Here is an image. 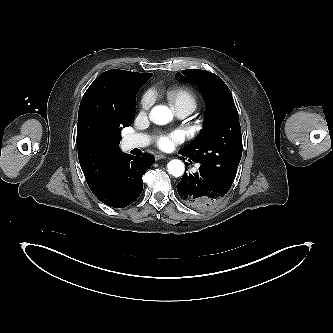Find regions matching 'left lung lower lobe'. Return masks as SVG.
I'll return each instance as SVG.
<instances>
[{"label": "left lung lower lobe", "instance_id": "1", "mask_svg": "<svg viewBox=\"0 0 333 333\" xmlns=\"http://www.w3.org/2000/svg\"><path fill=\"white\" fill-rule=\"evenodd\" d=\"M181 158L183 159V157ZM230 187L229 184L202 166L196 173L189 175L184 173L177 184L181 200L200 210H207L216 205L227 194Z\"/></svg>", "mask_w": 333, "mask_h": 333}]
</instances>
